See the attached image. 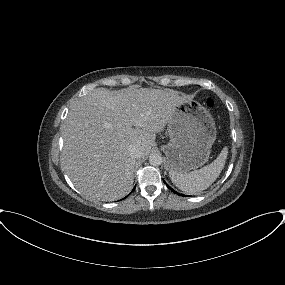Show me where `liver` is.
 Listing matches in <instances>:
<instances>
[{
  "mask_svg": "<svg viewBox=\"0 0 285 285\" xmlns=\"http://www.w3.org/2000/svg\"><path fill=\"white\" fill-rule=\"evenodd\" d=\"M185 101L174 90L94 89L74 102L64 121L62 169L86 196L102 201L124 197L134 182L129 148L136 145L141 158L148 155L156 133Z\"/></svg>",
  "mask_w": 285,
  "mask_h": 285,
  "instance_id": "1",
  "label": "liver"
}]
</instances>
